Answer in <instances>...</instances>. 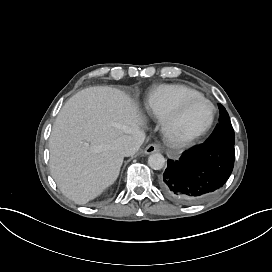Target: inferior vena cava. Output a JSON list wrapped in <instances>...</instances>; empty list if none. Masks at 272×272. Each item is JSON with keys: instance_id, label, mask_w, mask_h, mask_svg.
Wrapping results in <instances>:
<instances>
[{"instance_id": "inferior-vena-cava-1", "label": "inferior vena cava", "mask_w": 272, "mask_h": 272, "mask_svg": "<svg viewBox=\"0 0 272 272\" xmlns=\"http://www.w3.org/2000/svg\"><path fill=\"white\" fill-rule=\"evenodd\" d=\"M145 139V133L143 131L137 130L133 136L124 135L120 137L114 148L122 156L134 155L140 146L143 144Z\"/></svg>"}]
</instances>
